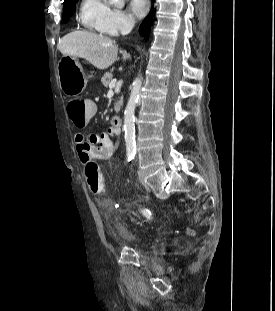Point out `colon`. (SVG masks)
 Returning a JSON list of instances; mask_svg holds the SVG:
<instances>
[{"instance_id": "1", "label": "colon", "mask_w": 275, "mask_h": 311, "mask_svg": "<svg viewBox=\"0 0 275 311\" xmlns=\"http://www.w3.org/2000/svg\"><path fill=\"white\" fill-rule=\"evenodd\" d=\"M96 97H77L68 104V112L74 121V129H87L88 121L97 115ZM87 184L94 193L104 191V179L101 168L98 164L90 162L85 167Z\"/></svg>"}]
</instances>
